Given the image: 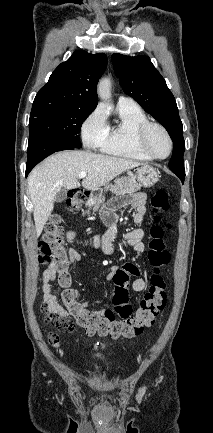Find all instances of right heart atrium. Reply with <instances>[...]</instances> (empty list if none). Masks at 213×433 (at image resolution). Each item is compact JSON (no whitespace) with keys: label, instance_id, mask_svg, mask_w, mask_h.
I'll list each match as a JSON object with an SVG mask.
<instances>
[{"label":"right heart atrium","instance_id":"right-heart-atrium-1","mask_svg":"<svg viewBox=\"0 0 213 433\" xmlns=\"http://www.w3.org/2000/svg\"><path fill=\"white\" fill-rule=\"evenodd\" d=\"M105 113L101 108L94 109L83 121L81 136L88 148L99 147L107 131Z\"/></svg>","mask_w":213,"mask_h":433}]
</instances>
